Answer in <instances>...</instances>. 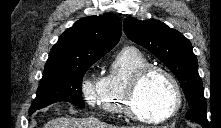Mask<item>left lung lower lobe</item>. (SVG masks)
I'll return each instance as SVG.
<instances>
[{"label":"left lung lower lobe","instance_id":"left-lung-lower-lobe-1","mask_svg":"<svg viewBox=\"0 0 221 128\" xmlns=\"http://www.w3.org/2000/svg\"><path fill=\"white\" fill-rule=\"evenodd\" d=\"M203 128H208L209 124L208 123H199Z\"/></svg>","mask_w":221,"mask_h":128}]
</instances>
